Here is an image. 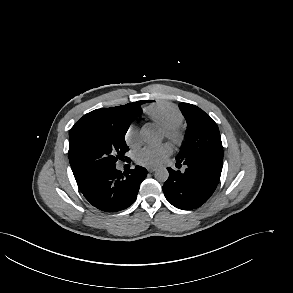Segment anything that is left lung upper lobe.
I'll use <instances>...</instances> for the list:
<instances>
[{"mask_svg": "<svg viewBox=\"0 0 293 293\" xmlns=\"http://www.w3.org/2000/svg\"><path fill=\"white\" fill-rule=\"evenodd\" d=\"M187 121L186 140L176 159L204 155L223 161V147L217 124L195 105L180 103Z\"/></svg>", "mask_w": 293, "mask_h": 293, "instance_id": "1", "label": "left lung upper lobe"}]
</instances>
